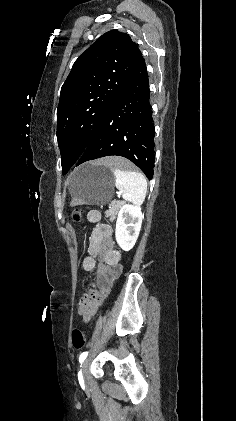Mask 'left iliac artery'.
I'll return each mask as SVG.
<instances>
[{"label": "left iliac artery", "instance_id": "obj_1", "mask_svg": "<svg viewBox=\"0 0 236 421\" xmlns=\"http://www.w3.org/2000/svg\"><path fill=\"white\" fill-rule=\"evenodd\" d=\"M88 352H83L79 357V362L82 364L83 361L86 359ZM81 374V371L79 372Z\"/></svg>", "mask_w": 236, "mask_h": 421}]
</instances>
